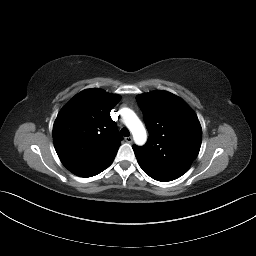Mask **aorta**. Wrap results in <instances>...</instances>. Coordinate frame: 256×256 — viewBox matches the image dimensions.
<instances>
[{"label":"aorta","instance_id":"obj_1","mask_svg":"<svg viewBox=\"0 0 256 256\" xmlns=\"http://www.w3.org/2000/svg\"><path fill=\"white\" fill-rule=\"evenodd\" d=\"M123 123L128 127L137 145L145 144L147 134L145 127L138 116L129 108L121 109Z\"/></svg>","mask_w":256,"mask_h":256}]
</instances>
